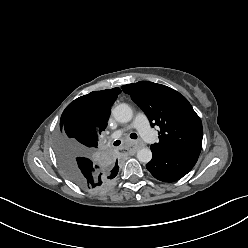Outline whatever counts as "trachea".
<instances>
[{
  "instance_id": "3493384b",
  "label": "trachea",
  "mask_w": 248,
  "mask_h": 248,
  "mask_svg": "<svg viewBox=\"0 0 248 248\" xmlns=\"http://www.w3.org/2000/svg\"><path fill=\"white\" fill-rule=\"evenodd\" d=\"M130 138H131V139H137V134H136V133H131V134H130ZM120 143H121V141H120V140H117V141L114 142L113 145H114V146H119Z\"/></svg>"
}]
</instances>
